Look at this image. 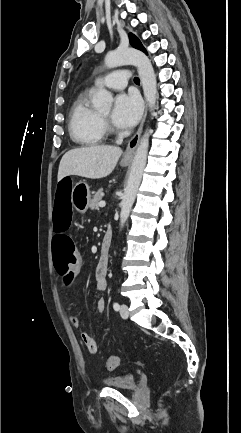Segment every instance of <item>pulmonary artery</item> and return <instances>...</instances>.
<instances>
[{"label": "pulmonary artery", "mask_w": 241, "mask_h": 433, "mask_svg": "<svg viewBox=\"0 0 241 433\" xmlns=\"http://www.w3.org/2000/svg\"><path fill=\"white\" fill-rule=\"evenodd\" d=\"M130 79L129 74L126 70H117L107 75L104 78L97 79L95 85L103 84L110 89L122 90L126 87L128 80Z\"/></svg>", "instance_id": "e3ab8cb5"}]
</instances>
